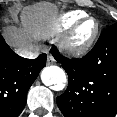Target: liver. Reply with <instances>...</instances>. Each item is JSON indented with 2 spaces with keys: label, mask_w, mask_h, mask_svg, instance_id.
<instances>
[{
  "label": "liver",
  "mask_w": 117,
  "mask_h": 117,
  "mask_svg": "<svg viewBox=\"0 0 117 117\" xmlns=\"http://www.w3.org/2000/svg\"><path fill=\"white\" fill-rule=\"evenodd\" d=\"M52 15V10L49 6L38 4L28 7L24 12L22 19L27 27H42V25ZM7 38L12 46L24 47L26 45V37L23 31L16 28L9 29Z\"/></svg>",
  "instance_id": "1"
}]
</instances>
